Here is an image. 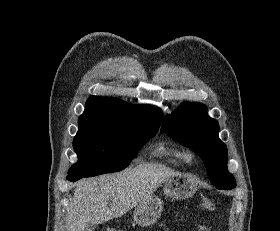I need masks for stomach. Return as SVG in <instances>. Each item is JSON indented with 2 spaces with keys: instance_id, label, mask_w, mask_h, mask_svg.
<instances>
[{
  "instance_id": "stomach-1",
  "label": "stomach",
  "mask_w": 280,
  "mask_h": 231,
  "mask_svg": "<svg viewBox=\"0 0 280 231\" xmlns=\"http://www.w3.org/2000/svg\"><path fill=\"white\" fill-rule=\"evenodd\" d=\"M198 179L190 173H179L164 181L163 191L173 199H187L197 191ZM163 209V201L158 195H149L145 201L139 203L134 209L135 223L147 227L159 219Z\"/></svg>"
}]
</instances>
